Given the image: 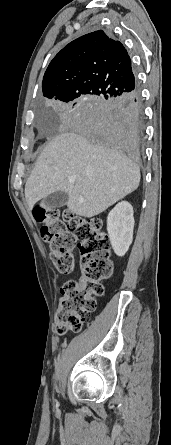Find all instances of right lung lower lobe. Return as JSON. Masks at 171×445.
Masks as SVG:
<instances>
[{
	"label": "right lung lower lobe",
	"instance_id": "98d812e1",
	"mask_svg": "<svg viewBox=\"0 0 171 445\" xmlns=\"http://www.w3.org/2000/svg\"><path fill=\"white\" fill-rule=\"evenodd\" d=\"M142 108L138 88L123 97L104 96L92 112L95 137L102 143L138 159L142 132Z\"/></svg>",
	"mask_w": 171,
	"mask_h": 445
}]
</instances>
